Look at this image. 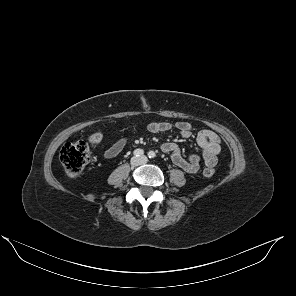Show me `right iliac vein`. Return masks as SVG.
<instances>
[{"label": "right iliac vein", "mask_w": 296, "mask_h": 296, "mask_svg": "<svg viewBox=\"0 0 296 296\" xmlns=\"http://www.w3.org/2000/svg\"><path fill=\"white\" fill-rule=\"evenodd\" d=\"M140 163H141V159L138 158V157H133V158L131 159V165H132L133 167L140 165Z\"/></svg>", "instance_id": "1"}]
</instances>
